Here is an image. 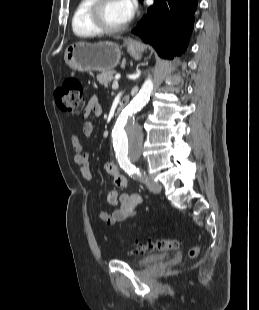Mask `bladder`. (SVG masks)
<instances>
[{"instance_id":"1","label":"bladder","mask_w":259,"mask_h":310,"mask_svg":"<svg viewBox=\"0 0 259 310\" xmlns=\"http://www.w3.org/2000/svg\"><path fill=\"white\" fill-rule=\"evenodd\" d=\"M168 256H169L168 253L149 255L147 257L134 261L133 265L139 267L149 265L152 263H157L159 261L165 260L166 258H168Z\"/></svg>"}]
</instances>
